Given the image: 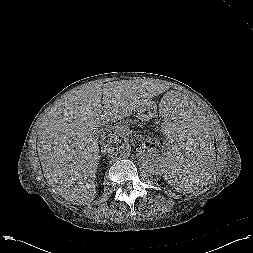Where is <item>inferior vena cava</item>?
Segmentation results:
<instances>
[{"label":"inferior vena cava","instance_id":"obj_1","mask_svg":"<svg viewBox=\"0 0 253 253\" xmlns=\"http://www.w3.org/2000/svg\"><path fill=\"white\" fill-rule=\"evenodd\" d=\"M108 147H109V145H108ZM108 150H109V153L111 154V155H114L116 152H118V148L117 147H109L108 148Z\"/></svg>","mask_w":253,"mask_h":253}]
</instances>
